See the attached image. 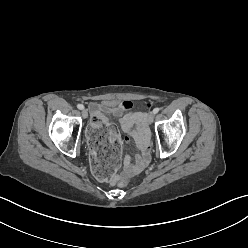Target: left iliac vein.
<instances>
[{
	"mask_svg": "<svg viewBox=\"0 0 248 248\" xmlns=\"http://www.w3.org/2000/svg\"><path fill=\"white\" fill-rule=\"evenodd\" d=\"M154 117H155V114L153 112H151L148 115L147 121H148L149 124H151L154 121Z\"/></svg>",
	"mask_w": 248,
	"mask_h": 248,
	"instance_id": "obj_1",
	"label": "left iliac vein"
}]
</instances>
